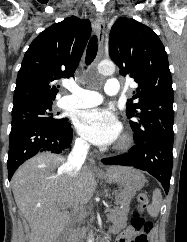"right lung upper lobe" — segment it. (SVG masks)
I'll return each instance as SVG.
<instances>
[{
    "mask_svg": "<svg viewBox=\"0 0 187 242\" xmlns=\"http://www.w3.org/2000/svg\"><path fill=\"white\" fill-rule=\"evenodd\" d=\"M90 34V22L74 16L40 33L23 58L13 105L53 101L56 81L74 76Z\"/></svg>",
    "mask_w": 187,
    "mask_h": 242,
    "instance_id": "1",
    "label": "right lung upper lobe"
}]
</instances>
